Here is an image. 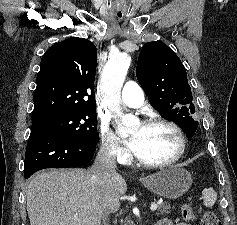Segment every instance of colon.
I'll return each instance as SVG.
<instances>
[{"label": "colon", "instance_id": "5ec220e1", "mask_svg": "<svg viewBox=\"0 0 237 225\" xmlns=\"http://www.w3.org/2000/svg\"><path fill=\"white\" fill-rule=\"evenodd\" d=\"M182 217L186 221H193L196 218L195 208L191 204H184L181 208ZM201 225H221L218 218L213 213H206L201 221Z\"/></svg>", "mask_w": 237, "mask_h": 225}]
</instances>
